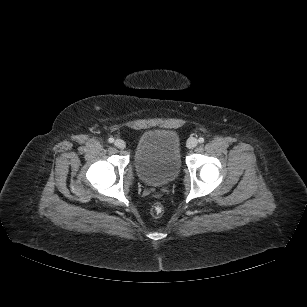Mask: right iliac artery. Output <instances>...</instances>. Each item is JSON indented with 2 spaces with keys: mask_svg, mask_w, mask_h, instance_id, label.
Masks as SVG:
<instances>
[{
  "mask_svg": "<svg viewBox=\"0 0 307 307\" xmlns=\"http://www.w3.org/2000/svg\"><path fill=\"white\" fill-rule=\"evenodd\" d=\"M108 142H109V143H113V142H114V138H112V137L109 138V139H108Z\"/></svg>",
  "mask_w": 307,
  "mask_h": 307,
  "instance_id": "1",
  "label": "right iliac artery"
}]
</instances>
